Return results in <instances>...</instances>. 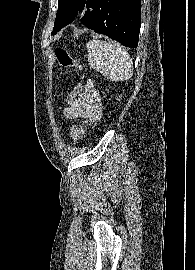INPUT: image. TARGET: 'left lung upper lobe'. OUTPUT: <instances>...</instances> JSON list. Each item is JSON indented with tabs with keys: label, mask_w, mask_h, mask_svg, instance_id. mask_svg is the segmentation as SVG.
<instances>
[{
	"label": "left lung upper lobe",
	"mask_w": 195,
	"mask_h": 270,
	"mask_svg": "<svg viewBox=\"0 0 195 270\" xmlns=\"http://www.w3.org/2000/svg\"><path fill=\"white\" fill-rule=\"evenodd\" d=\"M86 1L87 0H58V11L52 35L71 23L76 16L77 9L80 10V8L85 5Z\"/></svg>",
	"instance_id": "obj_1"
}]
</instances>
